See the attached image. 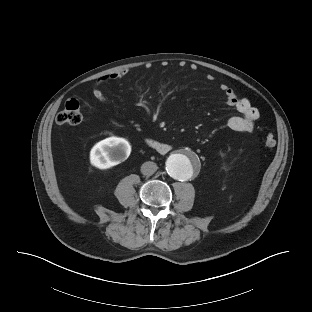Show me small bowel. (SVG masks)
<instances>
[{"mask_svg":"<svg viewBox=\"0 0 312 312\" xmlns=\"http://www.w3.org/2000/svg\"><path fill=\"white\" fill-rule=\"evenodd\" d=\"M128 69H122L101 76L92 88L93 96L101 103H107L108 99L102 90V85L117 79H121L128 74ZM211 75L208 79H212ZM220 90L225 95V103L229 107L235 108L240 115L233 116L228 120V127L236 132H251L254 129L255 123L260 117L257 108L251 105L246 98L238 97L235 92L226 84L220 85Z\"/></svg>","mask_w":312,"mask_h":312,"instance_id":"small-bowel-1","label":"small bowel"}]
</instances>
